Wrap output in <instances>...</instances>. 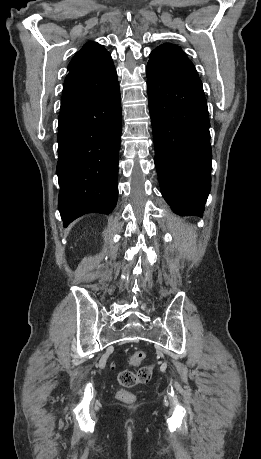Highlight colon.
<instances>
[{
  "mask_svg": "<svg viewBox=\"0 0 261 459\" xmlns=\"http://www.w3.org/2000/svg\"><path fill=\"white\" fill-rule=\"evenodd\" d=\"M145 358V354L142 351H135L130 357V363L134 366H138L142 363ZM152 376V366H144L139 368L137 371L122 370L118 373L117 379L119 384L124 388H131L139 384L147 383ZM117 396L122 401H131L133 396L131 393L124 389H120L117 392Z\"/></svg>",
  "mask_w": 261,
  "mask_h": 459,
  "instance_id": "obj_1",
  "label": "colon"
}]
</instances>
